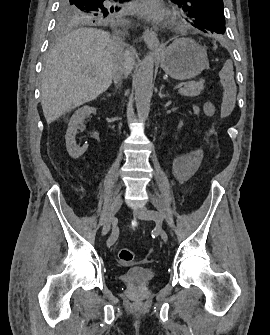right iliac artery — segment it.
<instances>
[{
	"instance_id": "right-iliac-artery-1",
	"label": "right iliac artery",
	"mask_w": 270,
	"mask_h": 335,
	"mask_svg": "<svg viewBox=\"0 0 270 335\" xmlns=\"http://www.w3.org/2000/svg\"><path fill=\"white\" fill-rule=\"evenodd\" d=\"M118 235H119V229H118V227L116 225V221H115L114 226L112 228L111 235H110V237L107 240V245L108 246L113 245L115 243V241L117 240Z\"/></svg>"
}]
</instances>
